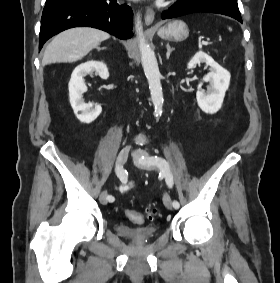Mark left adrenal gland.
Segmentation results:
<instances>
[{"label":"left adrenal gland","instance_id":"a2214340","mask_svg":"<svg viewBox=\"0 0 280 283\" xmlns=\"http://www.w3.org/2000/svg\"><path fill=\"white\" fill-rule=\"evenodd\" d=\"M167 53L166 58L169 59L171 52L174 50V48H171L169 43L166 45Z\"/></svg>","mask_w":280,"mask_h":283}]
</instances>
